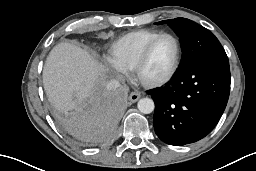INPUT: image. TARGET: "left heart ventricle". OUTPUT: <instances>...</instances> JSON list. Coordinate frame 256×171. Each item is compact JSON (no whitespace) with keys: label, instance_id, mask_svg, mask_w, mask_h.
Segmentation results:
<instances>
[{"label":"left heart ventricle","instance_id":"b2bd125f","mask_svg":"<svg viewBox=\"0 0 256 171\" xmlns=\"http://www.w3.org/2000/svg\"><path fill=\"white\" fill-rule=\"evenodd\" d=\"M175 53L173 39L165 37L159 40L142 69V77L146 80H155L166 75L173 64Z\"/></svg>","mask_w":256,"mask_h":171}]
</instances>
